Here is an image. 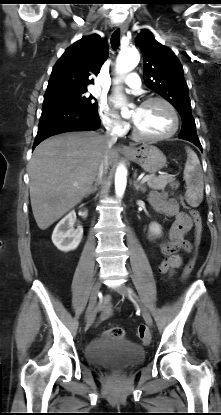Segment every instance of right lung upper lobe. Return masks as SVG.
Instances as JSON below:
<instances>
[{
	"label": "right lung upper lobe",
	"instance_id": "1",
	"mask_svg": "<svg viewBox=\"0 0 221 415\" xmlns=\"http://www.w3.org/2000/svg\"><path fill=\"white\" fill-rule=\"evenodd\" d=\"M107 57L106 39L97 34L82 37L54 65L46 93L87 89V85L94 84L91 76L100 72Z\"/></svg>",
	"mask_w": 221,
	"mask_h": 415
}]
</instances>
